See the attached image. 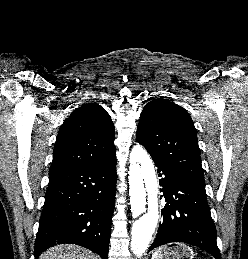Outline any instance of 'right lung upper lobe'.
I'll return each mask as SVG.
<instances>
[{"instance_id": "cb5924a9", "label": "right lung upper lobe", "mask_w": 248, "mask_h": 259, "mask_svg": "<svg viewBox=\"0 0 248 259\" xmlns=\"http://www.w3.org/2000/svg\"><path fill=\"white\" fill-rule=\"evenodd\" d=\"M114 134L109 114L98 104L75 109L59 130L49 174L105 161L116 152Z\"/></svg>"}]
</instances>
